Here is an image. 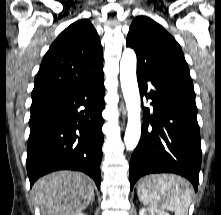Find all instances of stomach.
Masks as SVG:
<instances>
[{"instance_id":"1","label":"stomach","mask_w":221,"mask_h":215,"mask_svg":"<svg viewBox=\"0 0 221 215\" xmlns=\"http://www.w3.org/2000/svg\"><path fill=\"white\" fill-rule=\"evenodd\" d=\"M155 177H156V178H158V177L160 178V177H162V175H155Z\"/></svg>"}]
</instances>
